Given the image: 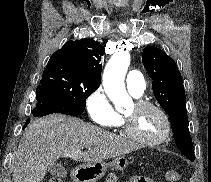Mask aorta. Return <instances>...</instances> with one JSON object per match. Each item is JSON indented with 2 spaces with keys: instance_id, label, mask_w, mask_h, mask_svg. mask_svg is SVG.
I'll return each mask as SVG.
<instances>
[{
  "instance_id": "1",
  "label": "aorta",
  "mask_w": 211,
  "mask_h": 182,
  "mask_svg": "<svg viewBox=\"0 0 211 182\" xmlns=\"http://www.w3.org/2000/svg\"><path fill=\"white\" fill-rule=\"evenodd\" d=\"M129 65V53L119 51L114 53L104 69V90L116 108L122 107L131 100L126 91L124 83Z\"/></svg>"
}]
</instances>
